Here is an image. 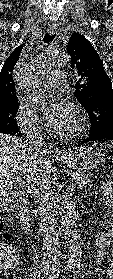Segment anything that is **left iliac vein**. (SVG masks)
<instances>
[{
    "label": "left iliac vein",
    "mask_w": 113,
    "mask_h": 279,
    "mask_svg": "<svg viewBox=\"0 0 113 279\" xmlns=\"http://www.w3.org/2000/svg\"><path fill=\"white\" fill-rule=\"evenodd\" d=\"M48 275V274H47ZM46 279H58L57 277H52L50 274L47 276Z\"/></svg>",
    "instance_id": "1"
}]
</instances>
